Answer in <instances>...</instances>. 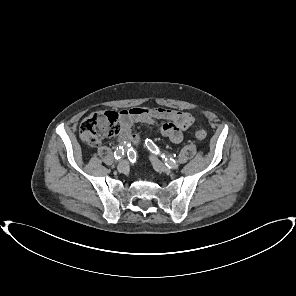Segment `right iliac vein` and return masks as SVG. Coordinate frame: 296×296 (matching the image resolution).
Listing matches in <instances>:
<instances>
[{"label":"right iliac vein","mask_w":296,"mask_h":296,"mask_svg":"<svg viewBox=\"0 0 296 296\" xmlns=\"http://www.w3.org/2000/svg\"><path fill=\"white\" fill-rule=\"evenodd\" d=\"M117 169L120 172H125L128 169V161H126V160L120 161L118 166H117Z\"/></svg>","instance_id":"right-iliac-vein-1"}]
</instances>
